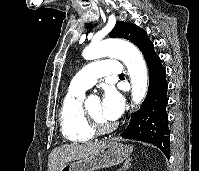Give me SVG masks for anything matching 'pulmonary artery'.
I'll return each mask as SVG.
<instances>
[{
	"label": "pulmonary artery",
	"instance_id": "obj_1",
	"mask_svg": "<svg viewBox=\"0 0 199 171\" xmlns=\"http://www.w3.org/2000/svg\"><path fill=\"white\" fill-rule=\"evenodd\" d=\"M122 67L119 62L109 59L97 60L82 68L72 79L69 88L85 91L92 87L98 78L109 75H120Z\"/></svg>",
	"mask_w": 199,
	"mask_h": 171
}]
</instances>
